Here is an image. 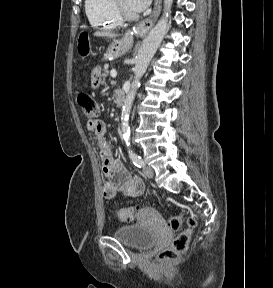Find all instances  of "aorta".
<instances>
[{"instance_id":"762f6f07","label":"aorta","mask_w":273,"mask_h":288,"mask_svg":"<svg viewBox=\"0 0 273 288\" xmlns=\"http://www.w3.org/2000/svg\"><path fill=\"white\" fill-rule=\"evenodd\" d=\"M173 0H164V13L157 24L152 28L146 38L143 40L136 62L134 66V79L131 84V89L127 94L121 115V129L127 147H130V127L129 114L136 95V91L140 85V79L144 75L149 66L151 59L156 53L157 48L161 44L168 28V17L171 11Z\"/></svg>"}]
</instances>
